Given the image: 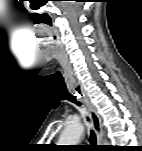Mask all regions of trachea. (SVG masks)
Here are the masks:
<instances>
[{
    "label": "trachea",
    "instance_id": "trachea-1",
    "mask_svg": "<svg viewBox=\"0 0 142 151\" xmlns=\"http://www.w3.org/2000/svg\"><path fill=\"white\" fill-rule=\"evenodd\" d=\"M63 98L76 104L77 106H81V103L79 101L76 100V96H73L70 93H66L63 95ZM87 121H89L88 117H87ZM89 141L92 145H96V135L94 133V131L91 129L90 130V138Z\"/></svg>",
    "mask_w": 142,
    "mask_h": 151
}]
</instances>
